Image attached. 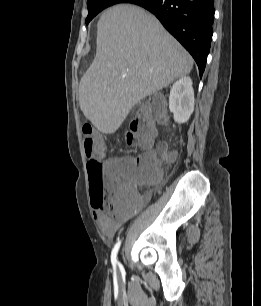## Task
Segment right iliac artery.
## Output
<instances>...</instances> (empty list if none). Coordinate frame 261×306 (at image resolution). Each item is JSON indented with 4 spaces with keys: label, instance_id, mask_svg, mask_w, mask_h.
I'll list each match as a JSON object with an SVG mask.
<instances>
[{
    "label": "right iliac artery",
    "instance_id": "82829eb1",
    "mask_svg": "<svg viewBox=\"0 0 261 306\" xmlns=\"http://www.w3.org/2000/svg\"><path fill=\"white\" fill-rule=\"evenodd\" d=\"M120 245H121V241L119 240L116 244H115V246H114V248H113V250H112V253H111V262H112V265L115 267L116 266V264L118 263V261H117V254H118V250H119V248H120Z\"/></svg>",
    "mask_w": 261,
    "mask_h": 306
}]
</instances>
